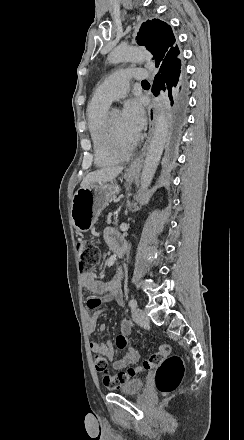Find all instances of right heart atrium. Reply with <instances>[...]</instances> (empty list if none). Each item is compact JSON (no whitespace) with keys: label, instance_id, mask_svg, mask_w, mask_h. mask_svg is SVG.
Segmentation results:
<instances>
[{"label":"right heart atrium","instance_id":"right-heart-atrium-1","mask_svg":"<svg viewBox=\"0 0 244 440\" xmlns=\"http://www.w3.org/2000/svg\"><path fill=\"white\" fill-rule=\"evenodd\" d=\"M130 139H135L136 138V136L135 135H130V137H129Z\"/></svg>","mask_w":244,"mask_h":440}]
</instances>
